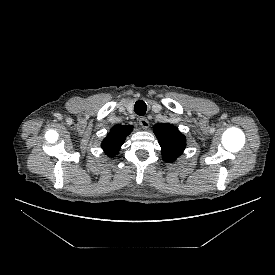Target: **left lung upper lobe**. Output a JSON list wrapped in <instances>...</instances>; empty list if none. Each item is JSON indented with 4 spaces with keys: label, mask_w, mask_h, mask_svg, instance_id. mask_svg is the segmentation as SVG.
<instances>
[{
    "label": "left lung upper lobe",
    "mask_w": 275,
    "mask_h": 275,
    "mask_svg": "<svg viewBox=\"0 0 275 275\" xmlns=\"http://www.w3.org/2000/svg\"><path fill=\"white\" fill-rule=\"evenodd\" d=\"M153 129L162 148L163 159L167 162H174L186 147L185 136L169 123H158Z\"/></svg>",
    "instance_id": "1"
}]
</instances>
